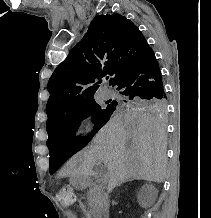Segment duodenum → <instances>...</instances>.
I'll return each instance as SVG.
<instances>
[{
  "label": "duodenum",
  "mask_w": 211,
  "mask_h": 218,
  "mask_svg": "<svg viewBox=\"0 0 211 218\" xmlns=\"http://www.w3.org/2000/svg\"><path fill=\"white\" fill-rule=\"evenodd\" d=\"M85 181H86V182H89V178H88V177H85Z\"/></svg>",
  "instance_id": "obj_1"
}]
</instances>
